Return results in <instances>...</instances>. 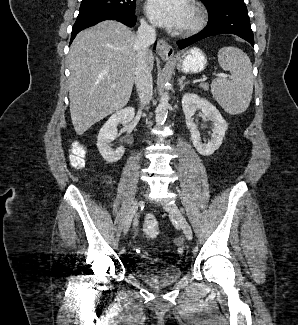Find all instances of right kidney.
Masks as SVG:
<instances>
[{
	"mask_svg": "<svg viewBox=\"0 0 298 325\" xmlns=\"http://www.w3.org/2000/svg\"><path fill=\"white\" fill-rule=\"evenodd\" d=\"M134 116V106H126V108H121V110H117V112L111 114L102 128H100L97 136V148L101 152L104 160H107V163H116V160L122 158L125 152L124 146L111 148L110 142L118 136V124H129Z\"/></svg>",
	"mask_w": 298,
	"mask_h": 325,
	"instance_id": "obj_1",
	"label": "right kidney"
}]
</instances>
